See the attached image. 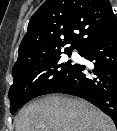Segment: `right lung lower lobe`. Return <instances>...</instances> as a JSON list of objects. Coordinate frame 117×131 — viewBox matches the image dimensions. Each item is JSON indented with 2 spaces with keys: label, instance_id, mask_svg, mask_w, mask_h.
Masks as SVG:
<instances>
[{
  "label": "right lung lower lobe",
  "instance_id": "obj_1",
  "mask_svg": "<svg viewBox=\"0 0 117 131\" xmlns=\"http://www.w3.org/2000/svg\"><path fill=\"white\" fill-rule=\"evenodd\" d=\"M79 51L92 64H74L62 84L48 94L83 98L109 115L117 127V29Z\"/></svg>",
  "mask_w": 117,
  "mask_h": 131
}]
</instances>
